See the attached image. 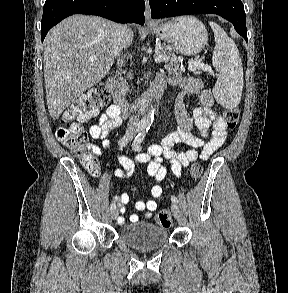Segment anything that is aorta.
<instances>
[{
	"label": "aorta",
	"instance_id": "1",
	"mask_svg": "<svg viewBox=\"0 0 288 293\" xmlns=\"http://www.w3.org/2000/svg\"><path fill=\"white\" fill-rule=\"evenodd\" d=\"M154 116H155V108L151 106V109L149 110V112L140 121L141 128L144 130H148L154 121Z\"/></svg>",
	"mask_w": 288,
	"mask_h": 293
}]
</instances>
